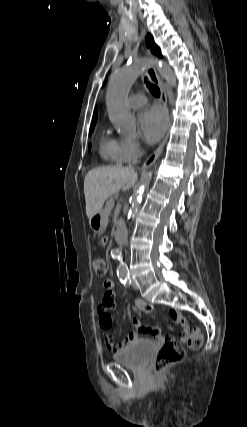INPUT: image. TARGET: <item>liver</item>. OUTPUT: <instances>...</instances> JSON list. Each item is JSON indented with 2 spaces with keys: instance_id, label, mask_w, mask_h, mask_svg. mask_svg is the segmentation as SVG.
Masks as SVG:
<instances>
[{
  "instance_id": "obj_1",
  "label": "liver",
  "mask_w": 247,
  "mask_h": 427,
  "mask_svg": "<svg viewBox=\"0 0 247 427\" xmlns=\"http://www.w3.org/2000/svg\"><path fill=\"white\" fill-rule=\"evenodd\" d=\"M133 167L108 166L90 170L84 178L87 217L102 210L104 202L120 189L129 190L137 181Z\"/></svg>"
}]
</instances>
